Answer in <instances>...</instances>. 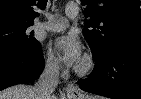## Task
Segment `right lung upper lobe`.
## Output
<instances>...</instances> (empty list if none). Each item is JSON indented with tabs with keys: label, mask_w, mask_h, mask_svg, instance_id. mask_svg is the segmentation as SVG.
I'll use <instances>...</instances> for the list:
<instances>
[{
	"label": "right lung upper lobe",
	"mask_w": 141,
	"mask_h": 99,
	"mask_svg": "<svg viewBox=\"0 0 141 99\" xmlns=\"http://www.w3.org/2000/svg\"><path fill=\"white\" fill-rule=\"evenodd\" d=\"M47 0H0V22H33L39 16L33 9H44Z\"/></svg>",
	"instance_id": "right-lung-upper-lobe-1"
}]
</instances>
